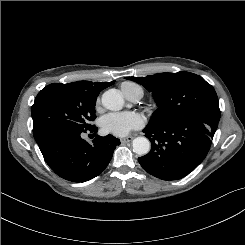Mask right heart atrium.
Wrapping results in <instances>:
<instances>
[{
	"label": "right heart atrium",
	"mask_w": 245,
	"mask_h": 245,
	"mask_svg": "<svg viewBox=\"0 0 245 245\" xmlns=\"http://www.w3.org/2000/svg\"><path fill=\"white\" fill-rule=\"evenodd\" d=\"M99 102H100V100H99V99H97V101H96V106H98V105H99Z\"/></svg>",
	"instance_id": "obj_1"
}]
</instances>
